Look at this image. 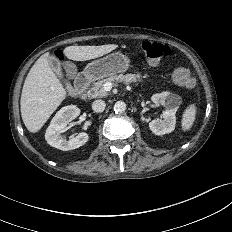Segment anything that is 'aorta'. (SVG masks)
Returning <instances> with one entry per match:
<instances>
[{"label": "aorta", "instance_id": "1", "mask_svg": "<svg viewBox=\"0 0 232 232\" xmlns=\"http://www.w3.org/2000/svg\"><path fill=\"white\" fill-rule=\"evenodd\" d=\"M126 110V104L123 101H117L114 104L115 113H123Z\"/></svg>", "mask_w": 232, "mask_h": 232}]
</instances>
